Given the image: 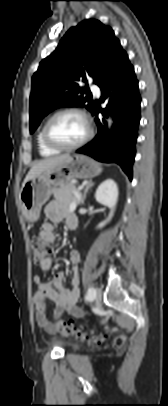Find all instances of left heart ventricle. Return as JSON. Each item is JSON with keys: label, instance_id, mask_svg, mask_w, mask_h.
I'll use <instances>...</instances> for the list:
<instances>
[{"label": "left heart ventricle", "instance_id": "1", "mask_svg": "<svg viewBox=\"0 0 168 406\" xmlns=\"http://www.w3.org/2000/svg\"><path fill=\"white\" fill-rule=\"evenodd\" d=\"M83 118L76 113H65L56 117L49 127V135L53 141L69 145L78 142L86 133Z\"/></svg>", "mask_w": 168, "mask_h": 406}]
</instances>
